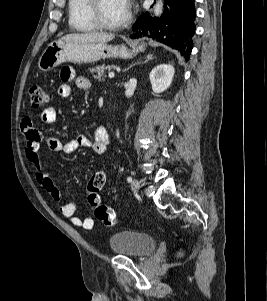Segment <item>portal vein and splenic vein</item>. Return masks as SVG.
Returning <instances> with one entry per match:
<instances>
[{"label":"portal vein and splenic vein","instance_id":"obj_1","mask_svg":"<svg viewBox=\"0 0 267 301\" xmlns=\"http://www.w3.org/2000/svg\"><path fill=\"white\" fill-rule=\"evenodd\" d=\"M108 76H109V78H113L115 76V73L113 71H110Z\"/></svg>","mask_w":267,"mask_h":301}]
</instances>
